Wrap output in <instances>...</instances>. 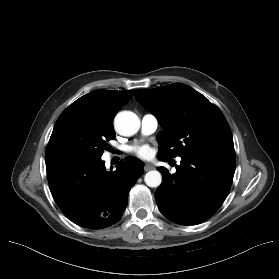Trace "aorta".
<instances>
[{
  "instance_id": "1",
  "label": "aorta",
  "mask_w": 279,
  "mask_h": 279,
  "mask_svg": "<svg viewBox=\"0 0 279 279\" xmlns=\"http://www.w3.org/2000/svg\"><path fill=\"white\" fill-rule=\"evenodd\" d=\"M114 127L122 136H132L136 134L140 128V120L138 116L131 111L119 112L114 119ZM144 181L147 186L156 188L162 182V175L157 170L146 173Z\"/></svg>"
}]
</instances>
